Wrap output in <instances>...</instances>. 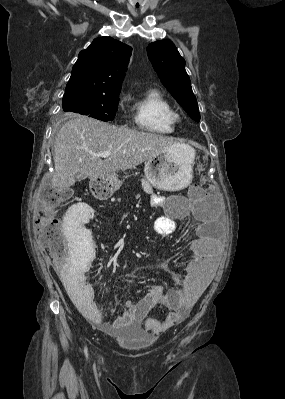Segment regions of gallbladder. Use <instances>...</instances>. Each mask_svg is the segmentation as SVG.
<instances>
[{
    "label": "gallbladder",
    "mask_w": 285,
    "mask_h": 399,
    "mask_svg": "<svg viewBox=\"0 0 285 399\" xmlns=\"http://www.w3.org/2000/svg\"><path fill=\"white\" fill-rule=\"evenodd\" d=\"M83 179H85V177H84L83 175H81V174H78V175L76 176V181H81V180H83Z\"/></svg>",
    "instance_id": "1"
}]
</instances>
